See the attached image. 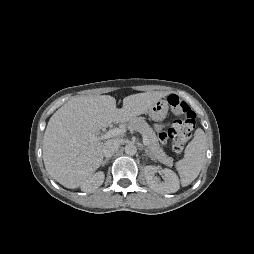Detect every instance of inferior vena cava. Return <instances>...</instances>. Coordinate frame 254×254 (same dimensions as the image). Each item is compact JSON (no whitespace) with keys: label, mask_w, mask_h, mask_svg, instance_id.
Returning a JSON list of instances; mask_svg holds the SVG:
<instances>
[{"label":"inferior vena cava","mask_w":254,"mask_h":254,"mask_svg":"<svg viewBox=\"0 0 254 254\" xmlns=\"http://www.w3.org/2000/svg\"><path fill=\"white\" fill-rule=\"evenodd\" d=\"M119 148L117 140H108L104 143L102 154L106 158H110Z\"/></svg>","instance_id":"1"}]
</instances>
